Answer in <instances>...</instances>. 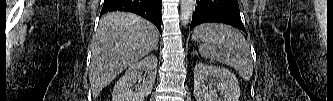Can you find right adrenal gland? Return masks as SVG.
Segmentation results:
<instances>
[{"label": "right adrenal gland", "instance_id": "obj_1", "mask_svg": "<svg viewBox=\"0 0 333 101\" xmlns=\"http://www.w3.org/2000/svg\"><path fill=\"white\" fill-rule=\"evenodd\" d=\"M154 50H156V51H157V50H158V47L156 46V47L154 48Z\"/></svg>", "mask_w": 333, "mask_h": 101}]
</instances>
